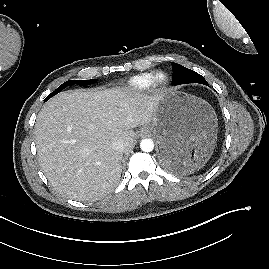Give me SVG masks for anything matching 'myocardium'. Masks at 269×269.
Returning <instances> with one entry per match:
<instances>
[{"mask_svg":"<svg viewBox=\"0 0 269 269\" xmlns=\"http://www.w3.org/2000/svg\"><path fill=\"white\" fill-rule=\"evenodd\" d=\"M169 84V76L164 71H157L153 76L152 86L156 89H163Z\"/></svg>","mask_w":269,"mask_h":269,"instance_id":"myocardium-1","label":"myocardium"}]
</instances>
